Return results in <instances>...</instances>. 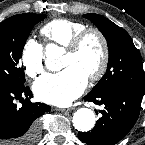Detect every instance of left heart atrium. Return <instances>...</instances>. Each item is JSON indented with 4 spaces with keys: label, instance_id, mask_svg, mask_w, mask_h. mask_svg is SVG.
<instances>
[{
    "label": "left heart atrium",
    "instance_id": "1",
    "mask_svg": "<svg viewBox=\"0 0 145 145\" xmlns=\"http://www.w3.org/2000/svg\"><path fill=\"white\" fill-rule=\"evenodd\" d=\"M87 85V76L76 66L55 74H47L33 85L36 97L46 103L66 106L77 98Z\"/></svg>",
    "mask_w": 145,
    "mask_h": 145
}]
</instances>
